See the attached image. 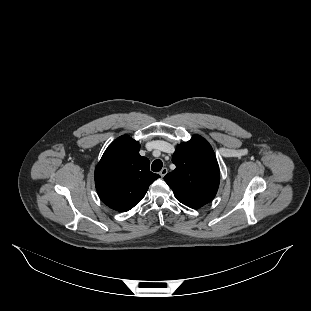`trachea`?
Masks as SVG:
<instances>
[{
  "label": "trachea",
  "mask_w": 311,
  "mask_h": 311,
  "mask_svg": "<svg viewBox=\"0 0 311 311\" xmlns=\"http://www.w3.org/2000/svg\"><path fill=\"white\" fill-rule=\"evenodd\" d=\"M163 167V163L161 160L157 159L152 163L151 169L154 172H159Z\"/></svg>",
  "instance_id": "3493384b"
}]
</instances>
